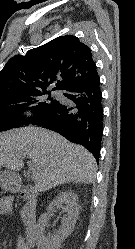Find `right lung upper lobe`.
Returning a JSON list of instances; mask_svg holds the SVG:
<instances>
[{"label":"right lung upper lobe","mask_w":135,"mask_h":249,"mask_svg":"<svg viewBox=\"0 0 135 249\" xmlns=\"http://www.w3.org/2000/svg\"><path fill=\"white\" fill-rule=\"evenodd\" d=\"M97 75L90 48L73 35L60 36L6 63L0 71V98L46 91L51 85L66 90Z\"/></svg>","instance_id":"1"}]
</instances>
